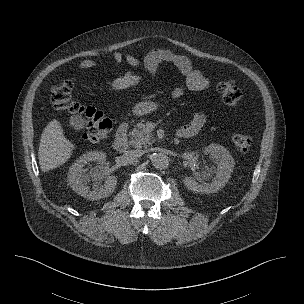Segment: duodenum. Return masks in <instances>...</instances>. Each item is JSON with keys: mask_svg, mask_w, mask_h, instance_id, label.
Returning <instances> with one entry per match:
<instances>
[{"mask_svg": "<svg viewBox=\"0 0 304 304\" xmlns=\"http://www.w3.org/2000/svg\"><path fill=\"white\" fill-rule=\"evenodd\" d=\"M128 129L129 126L127 123L120 124L117 129L113 146L118 152H125L128 149Z\"/></svg>", "mask_w": 304, "mask_h": 304, "instance_id": "duodenum-1", "label": "duodenum"}]
</instances>
